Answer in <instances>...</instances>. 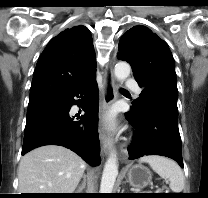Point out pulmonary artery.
<instances>
[{
    "label": "pulmonary artery",
    "instance_id": "pulmonary-artery-1",
    "mask_svg": "<svg viewBox=\"0 0 208 198\" xmlns=\"http://www.w3.org/2000/svg\"><path fill=\"white\" fill-rule=\"evenodd\" d=\"M126 86L128 88H130L131 90H133V92L135 93L136 96H139V94L141 93V89L140 87L137 85V83L132 80V79H128L126 81Z\"/></svg>",
    "mask_w": 208,
    "mask_h": 198
}]
</instances>
